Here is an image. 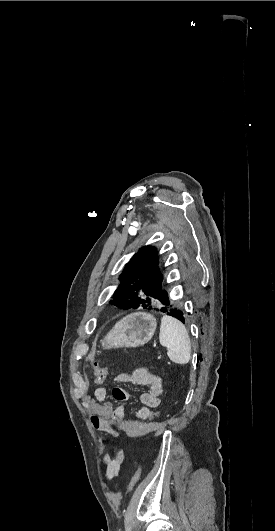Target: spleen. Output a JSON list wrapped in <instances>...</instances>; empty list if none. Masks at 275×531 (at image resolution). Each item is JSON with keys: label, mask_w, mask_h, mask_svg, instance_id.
Listing matches in <instances>:
<instances>
[{"label": "spleen", "mask_w": 275, "mask_h": 531, "mask_svg": "<svg viewBox=\"0 0 275 531\" xmlns=\"http://www.w3.org/2000/svg\"><path fill=\"white\" fill-rule=\"evenodd\" d=\"M159 341L162 347H167V355L172 363H177V365L189 363L191 343L188 331L181 321L170 315H163Z\"/></svg>", "instance_id": "spleen-1"}]
</instances>
